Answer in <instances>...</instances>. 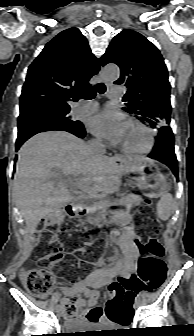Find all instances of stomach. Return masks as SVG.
I'll use <instances>...</instances> for the list:
<instances>
[{"mask_svg":"<svg viewBox=\"0 0 194 336\" xmlns=\"http://www.w3.org/2000/svg\"><path fill=\"white\" fill-rule=\"evenodd\" d=\"M125 173L138 174L136 179L139 189L147 192L151 198H157L165 193L167 183L165 177L157 170L155 164L144 157H136L130 163H122ZM138 197L134 198L137 202Z\"/></svg>","mask_w":194,"mask_h":336,"instance_id":"1","label":"stomach"}]
</instances>
